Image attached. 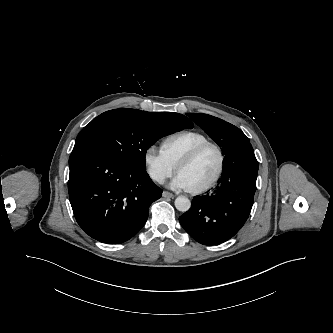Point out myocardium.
Returning <instances> with one entry per match:
<instances>
[{"instance_id": "myocardium-1", "label": "myocardium", "mask_w": 333, "mask_h": 333, "mask_svg": "<svg viewBox=\"0 0 333 333\" xmlns=\"http://www.w3.org/2000/svg\"><path fill=\"white\" fill-rule=\"evenodd\" d=\"M212 148L214 149L218 154V167L214 174V176L209 180L206 184H204L201 187L190 189L189 192L192 194H202L204 192H207L212 187L215 186V184L220 179L225 165V156L223 153V150L220 148L219 145L213 143V142H206L203 143L196 148H194L192 151H190L185 157H183L180 162L177 165V171H179L186 165L192 163L194 160H196L205 150Z\"/></svg>"}]
</instances>
